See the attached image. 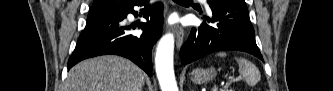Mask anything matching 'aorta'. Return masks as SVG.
<instances>
[{"instance_id": "aorta-1", "label": "aorta", "mask_w": 333, "mask_h": 91, "mask_svg": "<svg viewBox=\"0 0 333 91\" xmlns=\"http://www.w3.org/2000/svg\"><path fill=\"white\" fill-rule=\"evenodd\" d=\"M174 36L164 35L159 41L155 66L162 91H178L173 68Z\"/></svg>"}]
</instances>
